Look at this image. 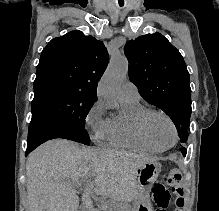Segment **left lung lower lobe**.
Instances as JSON below:
<instances>
[{
    "instance_id": "1",
    "label": "left lung lower lobe",
    "mask_w": 219,
    "mask_h": 211,
    "mask_svg": "<svg viewBox=\"0 0 219 211\" xmlns=\"http://www.w3.org/2000/svg\"><path fill=\"white\" fill-rule=\"evenodd\" d=\"M181 152L183 153V155L185 156L187 153V150L185 148H181Z\"/></svg>"
}]
</instances>
